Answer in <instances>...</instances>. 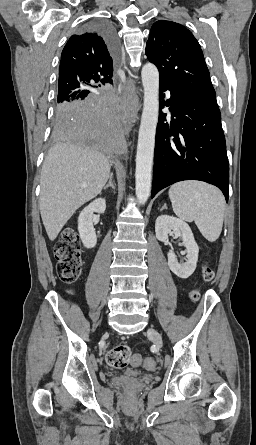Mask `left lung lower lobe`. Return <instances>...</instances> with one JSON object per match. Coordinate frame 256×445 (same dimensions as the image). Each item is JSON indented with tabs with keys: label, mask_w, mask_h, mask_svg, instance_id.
I'll use <instances>...</instances> for the list:
<instances>
[{
	"label": "left lung lower lobe",
	"mask_w": 256,
	"mask_h": 445,
	"mask_svg": "<svg viewBox=\"0 0 256 445\" xmlns=\"http://www.w3.org/2000/svg\"><path fill=\"white\" fill-rule=\"evenodd\" d=\"M159 91L160 110L170 106L171 121L159 114L151 198L175 182L200 180L220 188L228 201L229 165L216 98L165 81H160Z\"/></svg>",
	"instance_id": "0a47b994"
}]
</instances>
